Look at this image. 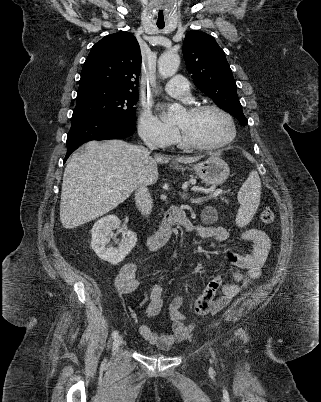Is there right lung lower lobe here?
I'll list each match as a JSON object with an SVG mask.
<instances>
[{"label": "right lung lower lobe", "instance_id": "right-lung-lower-lobe-1", "mask_svg": "<svg viewBox=\"0 0 321 402\" xmlns=\"http://www.w3.org/2000/svg\"><path fill=\"white\" fill-rule=\"evenodd\" d=\"M135 129V121L99 118L74 119L67 135V153L64 162L74 150L86 141L122 139L132 135Z\"/></svg>", "mask_w": 321, "mask_h": 402}]
</instances>
